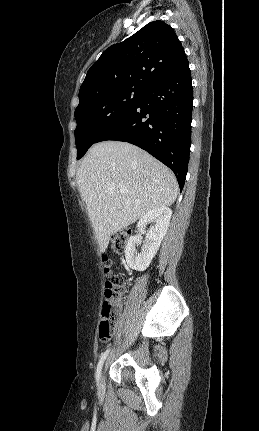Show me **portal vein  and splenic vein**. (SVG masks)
I'll use <instances>...</instances> for the list:
<instances>
[{
	"instance_id": "18ae733b",
	"label": "portal vein and splenic vein",
	"mask_w": 259,
	"mask_h": 431,
	"mask_svg": "<svg viewBox=\"0 0 259 431\" xmlns=\"http://www.w3.org/2000/svg\"><path fill=\"white\" fill-rule=\"evenodd\" d=\"M120 192H121V193L127 192V189H126L125 187L121 186V187H120Z\"/></svg>"
}]
</instances>
